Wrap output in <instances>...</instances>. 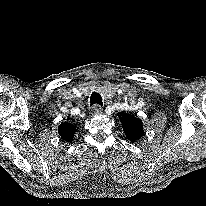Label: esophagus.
Masks as SVG:
<instances>
[{
    "label": "esophagus",
    "instance_id": "esophagus-1",
    "mask_svg": "<svg viewBox=\"0 0 206 206\" xmlns=\"http://www.w3.org/2000/svg\"><path fill=\"white\" fill-rule=\"evenodd\" d=\"M90 113L93 116L100 115L102 113V108L98 105H95L92 107Z\"/></svg>",
    "mask_w": 206,
    "mask_h": 206
}]
</instances>
